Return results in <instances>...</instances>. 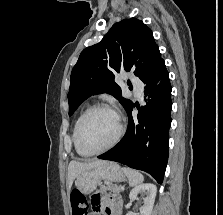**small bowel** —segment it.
<instances>
[{
  "label": "small bowel",
  "instance_id": "obj_1",
  "mask_svg": "<svg viewBox=\"0 0 223 215\" xmlns=\"http://www.w3.org/2000/svg\"><path fill=\"white\" fill-rule=\"evenodd\" d=\"M93 215H121V201L117 196L97 191L92 195Z\"/></svg>",
  "mask_w": 223,
  "mask_h": 215
}]
</instances>
